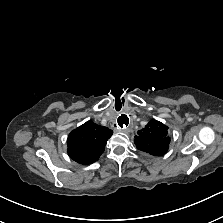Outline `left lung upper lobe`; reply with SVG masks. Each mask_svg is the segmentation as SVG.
I'll list each match as a JSON object with an SVG mask.
<instances>
[{
  "mask_svg": "<svg viewBox=\"0 0 223 223\" xmlns=\"http://www.w3.org/2000/svg\"><path fill=\"white\" fill-rule=\"evenodd\" d=\"M137 149L154 156L165 154L169 148L168 127L157 120H151L134 140Z\"/></svg>",
  "mask_w": 223,
  "mask_h": 223,
  "instance_id": "obj_1",
  "label": "left lung upper lobe"
}]
</instances>
